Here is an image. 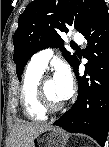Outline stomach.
<instances>
[{
	"label": "stomach",
	"instance_id": "1",
	"mask_svg": "<svg viewBox=\"0 0 109 147\" xmlns=\"http://www.w3.org/2000/svg\"><path fill=\"white\" fill-rule=\"evenodd\" d=\"M69 137L61 128L52 126L33 140V147H65Z\"/></svg>",
	"mask_w": 109,
	"mask_h": 147
}]
</instances>
